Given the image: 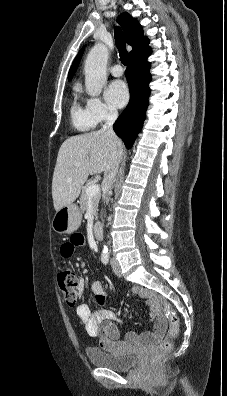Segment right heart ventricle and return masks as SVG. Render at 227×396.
I'll use <instances>...</instances> for the list:
<instances>
[{
  "instance_id": "right-heart-ventricle-1",
  "label": "right heart ventricle",
  "mask_w": 227,
  "mask_h": 396,
  "mask_svg": "<svg viewBox=\"0 0 227 396\" xmlns=\"http://www.w3.org/2000/svg\"><path fill=\"white\" fill-rule=\"evenodd\" d=\"M70 119L73 127L80 132H87L95 127V123L87 114L77 99H74L70 108Z\"/></svg>"
}]
</instances>
